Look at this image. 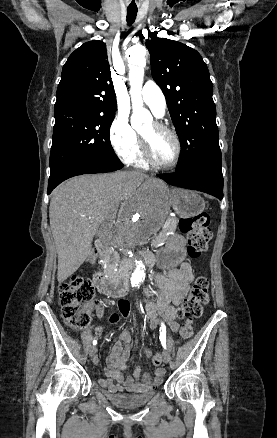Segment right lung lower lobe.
I'll return each mask as SVG.
<instances>
[{"label": "right lung lower lobe", "instance_id": "obj_1", "mask_svg": "<svg viewBox=\"0 0 277 438\" xmlns=\"http://www.w3.org/2000/svg\"><path fill=\"white\" fill-rule=\"evenodd\" d=\"M123 165L120 161H92L87 163L75 164L61 170L58 174L50 176L48 194L64 180L82 174L106 173L121 169Z\"/></svg>", "mask_w": 277, "mask_h": 438}]
</instances>
